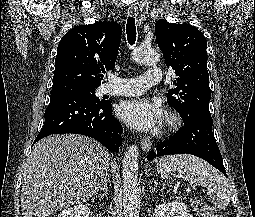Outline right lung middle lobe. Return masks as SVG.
I'll use <instances>...</instances> for the list:
<instances>
[{"mask_svg":"<svg viewBox=\"0 0 255 217\" xmlns=\"http://www.w3.org/2000/svg\"><path fill=\"white\" fill-rule=\"evenodd\" d=\"M96 88L97 87H89V86L77 85V84H68V85L52 87L51 94L71 93V94L80 95L90 101L102 102V100H99V98H97L95 95Z\"/></svg>","mask_w":255,"mask_h":217,"instance_id":"obj_1","label":"right lung middle lobe"}]
</instances>
